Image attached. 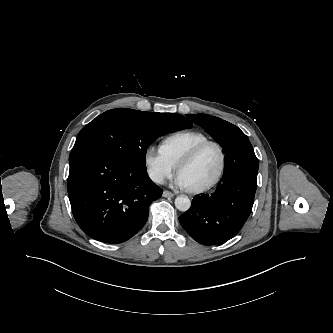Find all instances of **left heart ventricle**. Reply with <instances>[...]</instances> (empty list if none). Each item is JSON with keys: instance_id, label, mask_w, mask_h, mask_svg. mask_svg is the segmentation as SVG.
I'll return each mask as SVG.
<instances>
[{"instance_id": "obj_1", "label": "left heart ventricle", "mask_w": 333, "mask_h": 333, "mask_svg": "<svg viewBox=\"0 0 333 333\" xmlns=\"http://www.w3.org/2000/svg\"><path fill=\"white\" fill-rule=\"evenodd\" d=\"M219 153L215 147L204 149L189 165L184 167L179 175L188 188H197L208 183L216 174L219 166Z\"/></svg>"}]
</instances>
